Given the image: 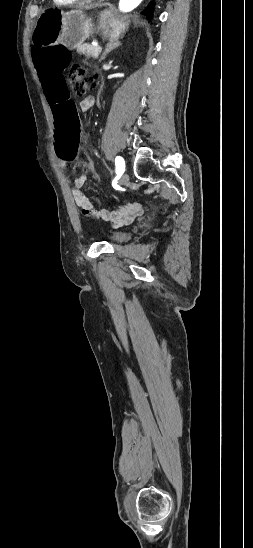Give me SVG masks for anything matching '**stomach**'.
Instances as JSON below:
<instances>
[{
	"instance_id": "stomach-1",
	"label": "stomach",
	"mask_w": 253,
	"mask_h": 548,
	"mask_svg": "<svg viewBox=\"0 0 253 548\" xmlns=\"http://www.w3.org/2000/svg\"><path fill=\"white\" fill-rule=\"evenodd\" d=\"M129 22L116 17L112 9L102 11L93 23L82 10L64 12L51 9L40 16L34 31V42L42 45L62 43L75 49L94 33L114 41L122 36Z\"/></svg>"
}]
</instances>
